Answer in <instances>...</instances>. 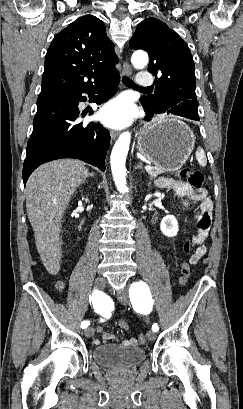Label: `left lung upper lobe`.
<instances>
[{"instance_id": "obj_1", "label": "left lung upper lobe", "mask_w": 243, "mask_h": 409, "mask_svg": "<svg viewBox=\"0 0 243 409\" xmlns=\"http://www.w3.org/2000/svg\"><path fill=\"white\" fill-rule=\"evenodd\" d=\"M129 46L148 52V71L156 76L154 94L140 99L145 106L188 103L198 109L194 61L188 45L175 31L159 19L148 18L138 24Z\"/></svg>"}]
</instances>
